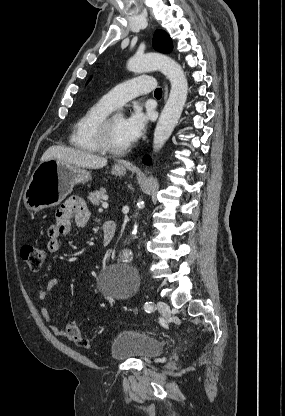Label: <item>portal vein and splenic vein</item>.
Listing matches in <instances>:
<instances>
[{"mask_svg": "<svg viewBox=\"0 0 285 416\" xmlns=\"http://www.w3.org/2000/svg\"><path fill=\"white\" fill-rule=\"evenodd\" d=\"M102 208H108L107 202H102Z\"/></svg>", "mask_w": 285, "mask_h": 416, "instance_id": "18ae733b", "label": "portal vein and splenic vein"}]
</instances>
